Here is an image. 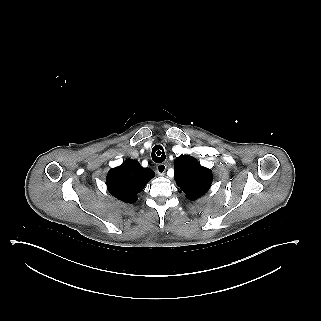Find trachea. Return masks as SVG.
Listing matches in <instances>:
<instances>
[{
    "label": "trachea",
    "instance_id": "3493384b",
    "mask_svg": "<svg viewBox=\"0 0 321 321\" xmlns=\"http://www.w3.org/2000/svg\"><path fill=\"white\" fill-rule=\"evenodd\" d=\"M165 153L160 145H156L152 149V160L156 163H162L165 161Z\"/></svg>",
    "mask_w": 321,
    "mask_h": 321
}]
</instances>
